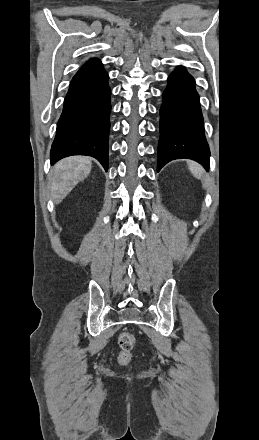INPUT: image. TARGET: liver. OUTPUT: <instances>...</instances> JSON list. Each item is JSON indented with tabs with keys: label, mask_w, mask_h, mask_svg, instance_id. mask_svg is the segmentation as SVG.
I'll use <instances>...</instances> for the list:
<instances>
[{
	"label": "liver",
	"mask_w": 259,
	"mask_h": 440,
	"mask_svg": "<svg viewBox=\"0 0 259 440\" xmlns=\"http://www.w3.org/2000/svg\"><path fill=\"white\" fill-rule=\"evenodd\" d=\"M89 157L71 156L57 162L50 173L51 196L59 204L90 173Z\"/></svg>",
	"instance_id": "1"
}]
</instances>
